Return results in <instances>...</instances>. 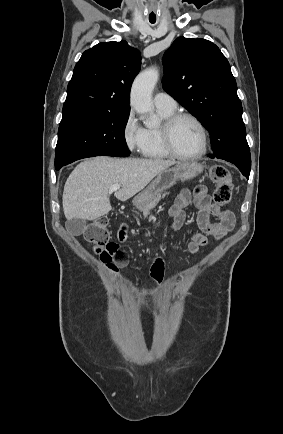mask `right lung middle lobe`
<instances>
[{"label": "right lung middle lobe", "mask_w": 283, "mask_h": 434, "mask_svg": "<svg viewBox=\"0 0 283 434\" xmlns=\"http://www.w3.org/2000/svg\"><path fill=\"white\" fill-rule=\"evenodd\" d=\"M130 111L76 114L62 117L55 150V167L99 155L127 157L124 130Z\"/></svg>", "instance_id": "dd1d6c3e"}]
</instances>
